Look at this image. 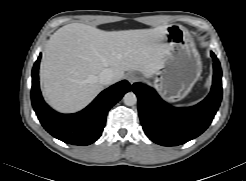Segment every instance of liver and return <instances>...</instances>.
<instances>
[{
	"mask_svg": "<svg viewBox=\"0 0 246 181\" xmlns=\"http://www.w3.org/2000/svg\"><path fill=\"white\" fill-rule=\"evenodd\" d=\"M166 29L103 31L71 23L58 29L46 44L40 65L42 91L57 111L76 112L102 90L98 75L113 71V82L125 71L150 78L162 67L168 52Z\"/></svg>",
	"mask_w": 246,
	"mask_h": 181,
	"instance_id": "obj_1",
	"label": "liver"
}]
</instances>
